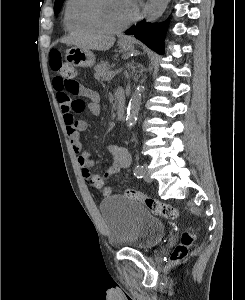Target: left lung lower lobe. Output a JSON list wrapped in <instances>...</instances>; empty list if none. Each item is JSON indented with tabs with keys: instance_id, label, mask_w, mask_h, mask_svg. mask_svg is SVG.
<instances>
[{
	"instance_id": "1",
	"label": "left lung lower lobe",
	"mask_w": 245,
	"mask_h": 300,
	"mask_svg": "<svg viewBox=\"0 0 245 300\" xmlns=\"http://www.w3.org/2000/svg\"><path fill=\"white\" fill-rule=\"evenodd\" d=\"M167 26V22L147 23L142 21L136 26L125 31V34L134 35L137 39L141 40L151 49L155 50L159 54H163Z\"/></svg>"
}]
</instances>
